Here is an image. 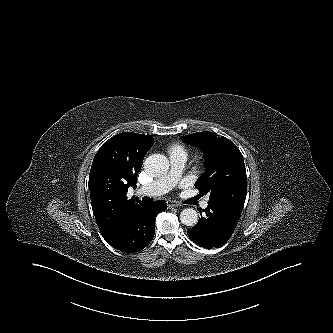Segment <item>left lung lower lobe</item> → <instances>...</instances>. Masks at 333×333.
Masks as SVG:
<instances>
[{
	"label": "left lung lower lobe",
	"mask_w": 333,
	"mask_h": 333,
	"mask_svg": "<svg viewBox=\"0 0 333 333\" xmlns=\"http://www.w3.org/2000/svg\"><path fill=\"white\" fill-rule=\"evenodd\" d=\"M203 211L206 216H201L199 222L187 230L188 236L203 248L223 246L233 234L240 214L213 202H208V207Z\"/></svg>",
	"instance_id": "1"
}]
</instances>
